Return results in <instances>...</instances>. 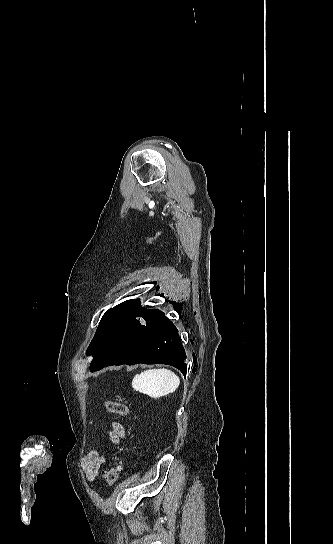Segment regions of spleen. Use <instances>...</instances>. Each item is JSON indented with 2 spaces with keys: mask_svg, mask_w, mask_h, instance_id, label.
Wrapping results in <instances>:
<instances>
[{
  "mask_svg": "<svg viewBox=\"0 0 333 544\" xmlns=\"http://www.w3.org/2000/svg\"><path fill=\"white\" fill-rule=\"evenodd\" d=\"M179 377L168 369H151L135 375L132 387L151 398H160L176 391Z\"/></svg>",
  "mask_w": 333,
  "mask_h": 544,
  "instance_id": "3e777b00",
  "label": "spleen"
}]
</instances>
